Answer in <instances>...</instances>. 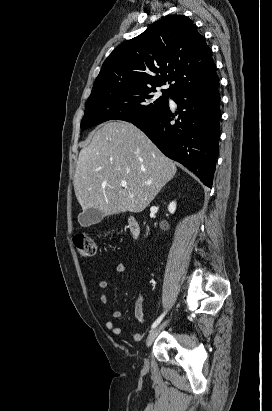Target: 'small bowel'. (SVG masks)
Returning <instances> with one entry per match:
<instances>
[{"mask_svg":"<svg viewBox=\"0 0 272 411\" xmlns=\"http://www.w3.org/2000/svg\"><path fill=\"white\" fill-rule=\"evenodd\" d=\"M116 272L117 273H124L128 271V268L124 264H118L116 266ZM99 286L101 289L105 290L109 287V281L108 280H101L99 282ZM100 300L103 305L108 304V297L105 293H103L100 297ZM134 315L137 319V321L141 324L145 322V317H144V311H143V305L142 301L138 300L134 304ZM124 314L121 311L115 310L112 312V318L116 320L123 319ZM106 328L109 330L111 333L114 335H120L122 333V329L112 320H109L106 322ZM133 340L135 342H139L142 340V334L140 332H136L133 334Z\"/></svg>","mask_w":272,"mask_h":411,"instance_id":"1","label":"small bowel"}]
</instances>
